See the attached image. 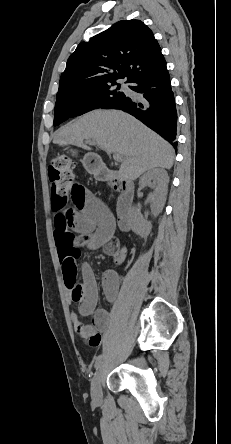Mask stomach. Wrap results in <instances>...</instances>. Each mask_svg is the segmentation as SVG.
<instances>
[{
  "label": "stomach",
  "instance_id": "0dacf381",
  "mask_svg": "<svg viewBox=\"0 0 231 444\" xmlns=\"http://www.w3.org/2000/svg\"><path fill=\"white\" fill-rule=\"evenodd\" d=\"M65 144V143H64ZM68 153H70L71 156L75 155V151L72 149H68ZM83 165L85 169L92 174H96L100 171V169L103 167V164L100 160V158L97 155L94 154H87L83 159Z\"/></svg>",
  "mask_w": 231,
  "mask_h": 444
}]
</instances>
